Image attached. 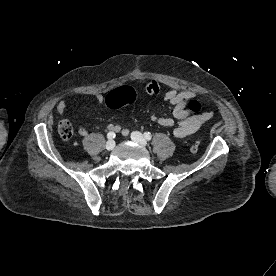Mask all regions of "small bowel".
Wrapping results in <instances>:
<instances>
[{
    "label": "small bowel",
    "mask_w": 276,
    "mask_h": 276,
    "mask_svg": "<svg viewBox=\"0 0 276 276\" xmlns=\"http://www.w3.org/2000/svg\"><path fill=\"white\" fill-rule=\"evenodd\" d=\"M148 87L155 90V92L150 95L159 94L161 91L160 86L155 82L146 84L145 88ZM194 97L195 93L192 91L182 90L177 87L170 88L163 95V101L169 107L170 115L154 114L151 116V121L163 127H174L172 134L175 138L182 139L193 135L213 116V113L207 110L199 114H194L188 110L187 103ZM92 99L97 103H102L104 101V97L98 93L93 94ZM66 105L67 102L65 100H61L58 103L57 112L60 116L63 115ZM108 129L121 132L124 135L128 134L126 129H122L114 123L109 124ZM78 133L86 137L89 132L86 128L81 127Z\"/></svg>",
    "instance_id": "obj_1"
}]
</instances>
